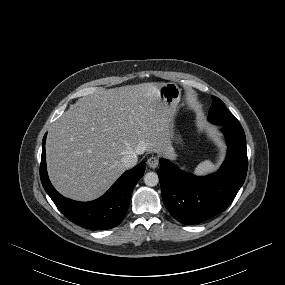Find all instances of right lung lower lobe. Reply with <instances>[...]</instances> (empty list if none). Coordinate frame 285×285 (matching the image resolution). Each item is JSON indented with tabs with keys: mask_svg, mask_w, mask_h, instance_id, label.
Returning <instances> with one entry per match:
<instances>
[{
	"mask_svg": "<svg viewBox=\"0 0 285 285\" xmlns=\"http://www.w3.org/2000/svg\"><path fill=\"white\" fill-rule=\"evenodd\" d=\"M45 140L46 134L42 142L40 178L60 212L73 223L89 229H110L120 224L127 212L133 188L143 176L145 163L126 171L101 198L92 202H77L63 197L51 185L46 170Z\"/></svg>",
	"mask_w": 285,
	"mask_h": 285,
	"instance_id": "right-lung-lower-lobe-1",
	"label": "right lung lower lobe"
}]
</instances>
